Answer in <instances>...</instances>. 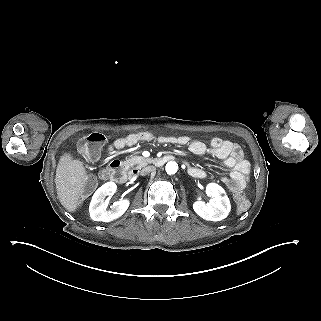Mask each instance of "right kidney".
Here are the masks:
<instances>
[{"mask_svg":"<svg viewBox=\"0 0 321 321\" xmlns=\"http://www.w3.org/2000/svg\"><path fill=\"white\" fill-rule=\"evenodd\" d=\"M116 192V185L113 182L105 183L96 190L89 206V213L94 221L111 222L127 211L130 206L129 198L114 202L111 209L107 210L108 203L105 199Z\"/></svg>","mask_w":321,"mask_h":321,"instance_id":"1","label":"right kidney"}]
</instances>
